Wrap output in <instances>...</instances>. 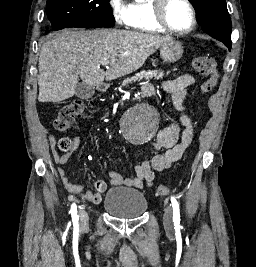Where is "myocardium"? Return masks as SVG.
Wrapping results in <instances>:
<instances>
[{"mask_svg":"<svg viewBox=\"0 0 256 267\" xmlns=\"http://www.w3.org/2000/svg\"><path fill=\"white\" fill-rule=\"evenodd\" d=\"M169 1H171V0H156V8H155V11L153 14L154 23L160 29L166 31L167 33L174 34L177 36H185V35L192 33L194 31V29L196 28V25H197V15H196V11H195L194 7L192 6V4L188 0H178L182 3H184L190 9L191 16H192V23H191L190 28L185 30V31H178V30L173 29L169 25V23L167 22V20L165 18V9H166V5Z\"/></svg>","mask_w":256,"mask_h":267,"instance_id":"1","label":"myocardium"}]
</instances>
